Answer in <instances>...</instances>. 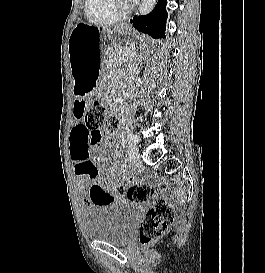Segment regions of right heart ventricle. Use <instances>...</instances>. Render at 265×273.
I'll return each instance as SVG.
<instances>
[{
	"label": "right heart ventricle",
	"instance_id": "right-heart-ventricle-1",
	"mask_svg": "<svg viewBox=\"0 0 265 273\" xmlns=\"http://www.w3.org/2000/svg\"><path fill=\"white\" fill-rule=\"evenodd\" d=\"M84 9L86 18L93 24H111L120 18L111 9L109 0H85Z\"/></svg>",
	"mask_w": 265,
	"mask_h": 273
}]
</instances>
